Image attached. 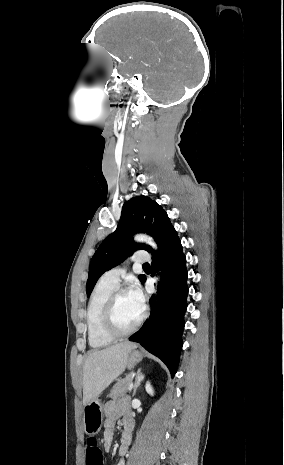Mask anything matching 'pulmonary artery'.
<instances>
[{
    "label": "pulmonary artery",
    "instance_id": "e3ab8cb5",
    "mask_svg": "<svg viewBox=\"0 0 284 465\" xmlns=\"http://www.w3.org/2000/svg\"><path fill=\"white\" fill-rule=\"evenodd\" d=\"M149 256L150 253L148 250H135L133 252V261L135 263H147L149 261ZM124 273V268L116 267L105 272L101 276L100 280L105 283L118 286Z\"/></svg>",
    "mask_w": 284,
    "mask_h": 465
}]
</instances>
